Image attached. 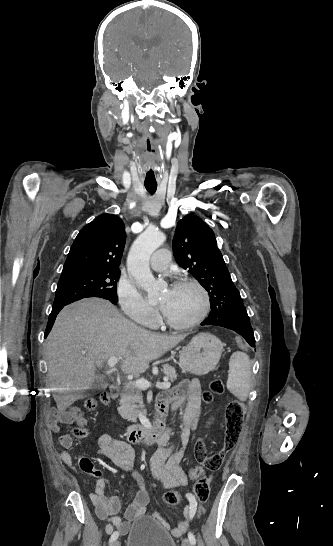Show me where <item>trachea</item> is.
I'll list each match as a JSON object with an SVG mask.
<instances>
[{"instance_id":"3493384b","label":"trachea","mask_w":333,"mask_h":546,"mask_svg":"<svg viewBox=\"0 0 333 546\" xmlns=\"http://www.w3.org/2000/svg\"><path fill=\"white\" fill-rule=\"evenodd\" d=\"M147 175H151L152 177H155L154 175V172L152 170H150ZM145 188L146 190L150 193V194H154L156 192V189H157V184H149V183H145Z\"/></svg>"}]
</instances>
